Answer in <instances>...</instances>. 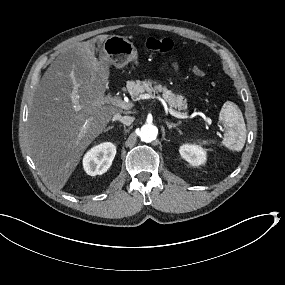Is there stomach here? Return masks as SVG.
Wrapping results in <instances>:
<instances>
[{"instance_id":"stomach-1","label":"stomach","mask_w":285,"mask_h":285,"mask_svg":"<svg viewBox=\"0 0 285 285\" xmlns=\"http://www.w3.org/2000/svg\"><path fill=\"white\" fill-rule=\"evenodd\" d=\"M105 55L116 66L122 67L129 62L138 63V51L126 37L112 35L103 42Z\"/></svg>"}]
</instances>
